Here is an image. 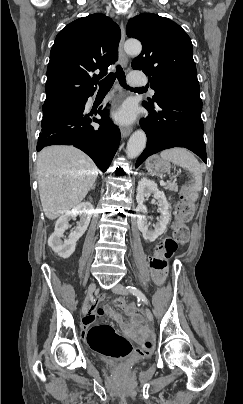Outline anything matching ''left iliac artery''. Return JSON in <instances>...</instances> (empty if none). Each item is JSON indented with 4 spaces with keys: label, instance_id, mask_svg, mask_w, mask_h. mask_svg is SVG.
I'll use <instances>...</instances> for the list:
<instances>
[{
    "label": "left iliac artery",
    "instance_id": "obj_1",
    "mask_svg": "<svg viewBox=\"0 0 243 404\" xmlns=\"http://www.w3.org/2000/svg\"><path fill=\"white\" fill-rule=\"evenodd\" d=\"M126 289L130 291L133 295H135L138 300L143 301L145 304H149L147 297L142 293L139 289L133 286H127Z\"/></svg>",
    "mask_w": 243,
    "mask_h": 404
}]
</instances>
